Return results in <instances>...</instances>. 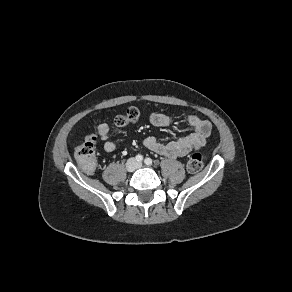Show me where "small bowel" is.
<instances>
[{"instance_id": "c3829d8e", "label": "small bowel", "mask_w": 292, "mask_h": 292, "mask_svg": "<svg viewBox=\"0 0 292 292\" xmlns=\"http://www.w3.org/2000/svg\"><path fill=\"white\" fill-rule=\"evenodd\" d=\"M187 121L193 129L191 133L166 143L160 142L153 136H149L144 139V146L155 153L170 158L184 157L191 151L203 147L211 134V123L196 114L188 115ZM150 122L154 126L162 128L171 125L170 117L161 112H153L150 116ZM97 133L103 142L104 150L108 153L114 152L116 144L110 140L109 126L105 123L100 124L97 127Z\"/></svg>"}]
</instances>
